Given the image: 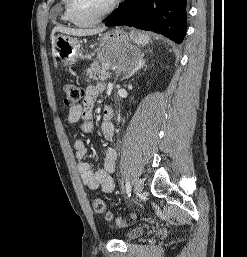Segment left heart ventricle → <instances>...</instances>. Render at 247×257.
<instances>
[{
    "label": "left heart ventricle",
    "instance_id": "b2bd125f",
    "mask_svg": "<svg viewBox=\"0 0 247 257\" xmlns=\"http://www.w3.org/2000/svg\"><path fill=\"white\" fill-rule=\"evenodd\" d=\"M113 0H75L77 14L83 19H91L102 13Z\"/></svg>",
    "mask_w": 247,
    "mask_h": 257
}]
</instances>
